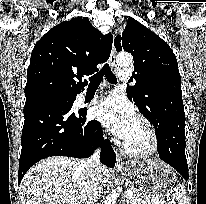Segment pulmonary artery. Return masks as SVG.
<instances>
[{"instance_id":"pulmonary-artery-1","label":"pulmonary artery","mask_w":206,"mask_h":204,"mask_svg":"<svg viewBox=\"0 0 206 204\" xmlns=\"http://www.w3.org/2000/svg\"><path fill=\"white\" fill-rule=\"evenodd\" d=\"M129 75H130V71L129 70H123V71L119 72V77H120L121 80L128 79Z\"/></svg>"}]
</instances>
